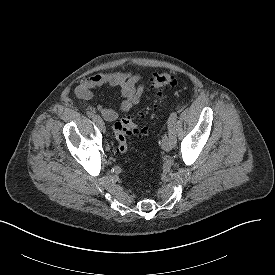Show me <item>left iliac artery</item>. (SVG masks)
<instances>
[{
	"mask_svg": "<svg viewBox=\"0 0 275 275\" xmlns=\"http://www.w3.org/2000/svg\"><path fill=\"white\" fill-rule=\"evenodd\" d=\"M177 119V113L173 112L170 114L169 119H168V130L172 136L174 145L176 144V135H175V122Z\"/></svg>",
	"mask_w": 275,
	"mask_h": 275,
	"instance_id": "obj_1",
	"label": "left iliac artery"
}]
</instances>
